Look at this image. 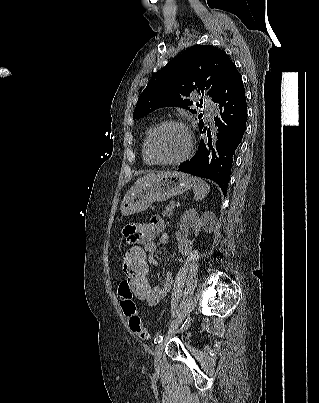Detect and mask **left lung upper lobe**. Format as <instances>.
<instances>
[{
	"label": "left lung upper lobe",
	"mask_w": 319,
	"mask_h": 403,
	"mask_svg": "<svg viewBox=\"0 0 319 403\" xmlns=\"http://www.w3.org/2000/svg\"><path fill=\"white\" fill-rule=\"evenodd\" d=\"M233 65L227 54L214 46H195L157 72L140 94L133 119L142 118L153 110L177 106L196 113L188 105L192 92L207 93L214 99L226 74ZM203 101L196 104L202 108ZM201 118V116H199ZM204 125L199 122V128Z\"/></svg>",
	"instance_id": "1"
}]
</instances>
